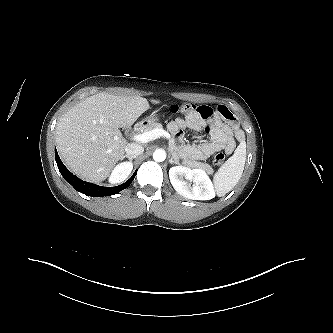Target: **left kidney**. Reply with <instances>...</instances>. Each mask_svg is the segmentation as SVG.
<instances>
[{
	"instance_id": "left-kidney-1",
	"label": "left kidney",
	"mask_w": 333,
	"mask_h": 333,
	"mask_svg": "<svg viewBox=\"0 0 333 333\" xmlns=\"http://www.w3.org/2000/svg\"><path fill=\"white\" fill-rule=\"evenodd\" d=\"M169 178L174 189L188 199L210 200L215 197L213 183L205 170L176 166L170 168ZM189 181L194 185L191 186Z\"/></svg>"
}]
</instances>
